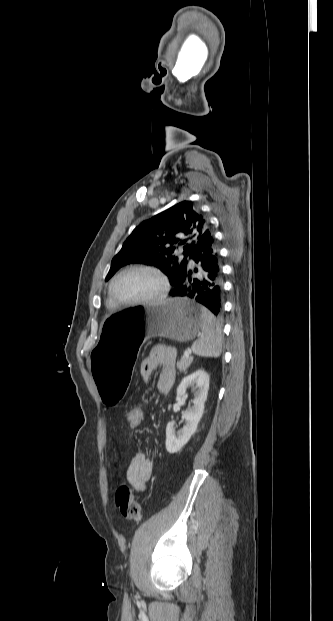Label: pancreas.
<instances>
[{
    "mask_svg": "<svg viewBox=\"0 0 333 621\" xmlns=\"http://www.w3.org/2000/svg\"><path fill=\"white\" fill-rule=\"evenodd\" d=\"M193 361V357L189 356V357H182L180 361L177 362V368L179 369L180 372H185L187 370V368L190 366V364Z\"/></svg>",
    "mask_w": 333,
    "mask_h": 621,
    "instance_id": "obj_1",
    "label": "pancreas"
}]
</instances>
